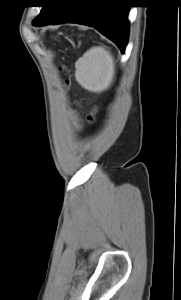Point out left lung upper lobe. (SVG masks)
<instances>
[{
  "instance_id": "5c2ea615",
  "label": "left lung upper lobe",
  "mask_w": 181,
  "mask_h": 300,
  "mask_svg": "<svg viewBox=\"0 0 181 300\" xmlns=\"http://www.w3.org/2000/svg\"><path fill=\"white\" fill-rule=\"evenodd\" d=\"M55 0H48V4L42 7V10L40 11L39 15L33 20V25L37 26L38 23L42 20V18L45 16V14L48 12L50 7L53 5Z\"/></svg>"
}]
</instances>
